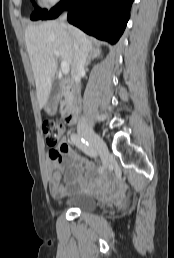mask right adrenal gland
<instances>
[{
    "mask_svg": "<svg viewBox=\"0 0 174 258\" xmlns=\"http://www.w3.org/2000/svg\"><path fill=\"white\" fill-rule=\"evenodd\" d=\"M100 55H101L100 49H92L89 55L87 56V61L85 65L88 66L92 59L98 58Z\"/></svg>",
    "mask_w": 174,
    "mask_h": 258,
    "instance_id": "right-adrenal-gland-1",
    "label": "right adrenal gland"
}]
</instances>
